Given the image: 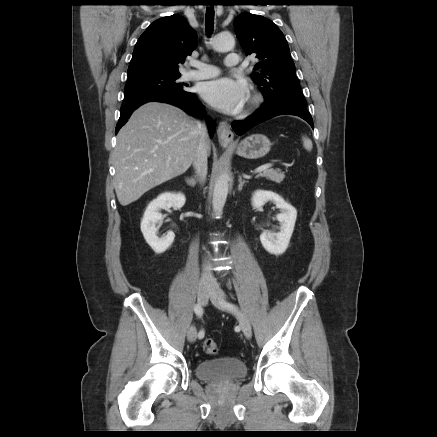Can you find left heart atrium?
<instances>
[{
  "mask_svg": "<svg viewBox=\"0 0 437 437\" xmlns=\"http://www.w3.org/2000/svg\"><path fill=\"white\" fill-rule=\"evenodd\" d=\"M203 99L225 113H237L247 99L248 89L244 81L219 78L206 82L201 90Z\"/></svg>",
  "mask_w": 437,
  "mask_h": 437,
  "instance_id": "obj_1",
  "label": "left heart atrium"
}]
</instances>
